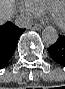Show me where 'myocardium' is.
Here are the masks:
<instances>
[{
	"mask_svg": "<svg viewBox=\"0 0 65 89\" xmlns=\"http://www.w3.org/2000/svg\"><path fill=\"white\" fill-rule=\"evenodd\" d=\"M60 6L65 7V5H61L58 2L54 3L49 9V15L54 24H56L59 28H65V18L60 20L57 16V11Z\"/></svg>",
	"mask_w": 65,
	"mask_h": 89,
	"instance_id": "obj_1",
	"label": "myocardium"
}]
</instances>
